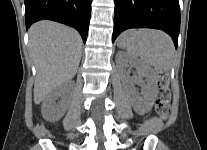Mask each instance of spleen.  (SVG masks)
<instances>
[{
    "mask_svg": "<svg viewBox=\"0 0 207 150\" xmlns=\"http://www.w3.org/2000/svg\"><path fill=\"white\" fill-rule=\"evenodd\" d=\"M133 58L139 57L145 64L159 70H171L175 58V48L169 35L161 30L141 29L134 33V40L126 46Z\"/></svg>",
    "mask_w": 207,
    "mask_h": 150,
    "instance_id": "3e777b00",
    "label": "spleen"
}]
</instances>
